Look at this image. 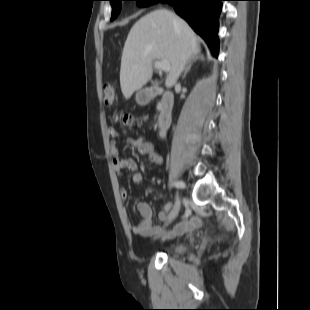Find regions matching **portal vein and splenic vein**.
Masks as SVG:
<instances>
[{
  "instance_id": "obj_1",
  "label": "portal vein and splenic vein",
  "mask_w": 310,
  "mask_h": 310,
  "mask_svg": "<svg viewBox=\"0 0 310 310\" xmlns=\"http://www.w3.org/2000/svg\"><path fill=\"white\" fill-rule=\"evenodd\" d=\"M155 68L158 70L168 72L170 70V64L167 61H155Z\"/></svg>"
}]
</instances>
